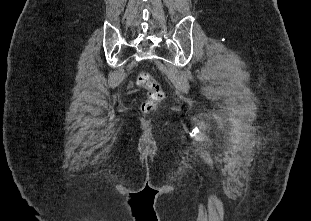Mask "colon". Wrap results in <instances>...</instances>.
<instances>
[{
	"label": "colon",
	"instance_id": "5ec220e1",
	"mask_svg": "<svg viewBox=\"0 0 311 221\" xmlns=\"http://www.w3.org/2000/svg\"><path fill=\"white\" fill-rule=\"evenodd\" d=\"M138 85L148 91L146 100L140 108L142 114H148L154 106L164 98V91L159 83L148 73L142 71L138 75Z\"/></svg>",
	"mask_w": 311,
	"mask_h": 221
}]
</instances>
